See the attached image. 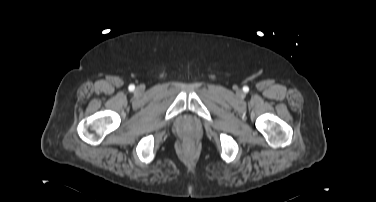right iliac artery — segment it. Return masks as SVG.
Returning <instances> with one entry per match:
<instances>
[{"label":"right iliac artery","instance_id":"82829eb1","mask_svg":"<svg viewBox=\"0 0 376 202\" xmlns=\"http://www.w3.org/2000/svg\"><path fill=\"white\" fill-rule=\"evenodd\" d=\"M135 89V86L134 85H130L129 86V90L133 91Z\"/></svg>","mask_w":376,"mask_h":202}]
</instances>
